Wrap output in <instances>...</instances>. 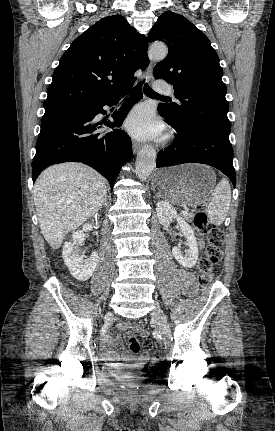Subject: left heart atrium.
Segmentation results:
<instances>
[{
	"mask_svg": "<svg viewBox=\"0 0 275 431\" xmlns=\"http://www.w3.org/2000/svg\"><path fill=\"white\" fill-rule=\"evenodd\" d=\"M124 126L133 137L141 140L159 138L164 130L162 122L147 106L134 109L126 119Z\"/></svg>",
	"mask_w": 275,
	"mask_h": 431,
	"instance_id": "1",
	"label": "left heart atrium"
}]
</instances>
